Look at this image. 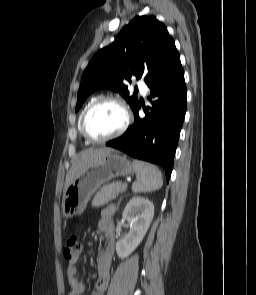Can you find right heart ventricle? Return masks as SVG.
<instances>
[{
    "label": "right heart ventricle",
    "instance_id": "e07e8e85",
    "mask_svg": "<svg viewBox=\"0 0 256 295\" xmlns=\"http://www.w3.org/2000/svg\"><path fill=\"white\" fill-rule=\"evenodd\" d=\"M96 98H91L87 103H86V105L84 106V108H83V110H82V112H81V114H80V117H79V120H78V130H79V132H80V134H81V136H82V138L84 139V141H85V143L86 144H89L90 142L83 136V134H82V131H81V120H82V116H83V114H84V112H85V110L87 109V107L95 100Z\"/></svg>",
    "mask_w": 256,
    "mask_h": 295
}]
</instances>
